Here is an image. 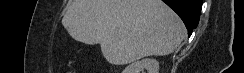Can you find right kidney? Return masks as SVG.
<instances>
[{"label": "right kidney", "instance_id": "ca27d5eb", "mask_svg": "<svg viewBox=\"0 0 244 73\" xmlns=\"http://www.w3.org/2000/svg\"><path fill=\"white\" fill-rule=\"evenodd\" d=\"M147 71V73H158L159 62L155 59H142L141 61H135L128 65L122 73H140Z\"/></svg>", "mask_w": 244, "mask_h": 73}]
</instances>
